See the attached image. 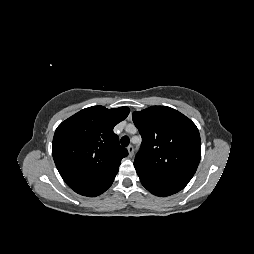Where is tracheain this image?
<instances>
[{
  "mask_svg": "<svg viewBox=\"0 0 254 254\" xmlns=\"http://www.w3.org/2000/svg\"><path fill=\"white\" fill-rule=\"evenodd\" d=\"M120 142H121L122 146H124V147L128 146L129 142H130L129 137L128 136H123L121 138Z\"/></svg>",
  "mask_w": 254,
  "mask_h": 254,
  "instance_id": "1",
  "label": "trachea"
}]
</instances>
